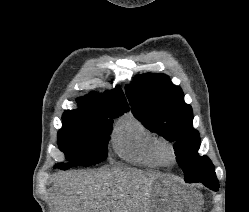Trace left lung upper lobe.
Wrapping results in <instances>:
<instances>
[{"label":"left lung upper lobe","mask_w":249,"mask_h":212,"mask_svg":"<svg viewBox=\"0 0 249 212\" xmlns=\"http://www.w3.org/2000/svg\"><path fill=\"white\" fill-rule=\"evenodd\" d=\"M125 89L133 115L151 132L174 142L176 160L185 181L217 179L211 160L198 155L199 133L192 127V108L184 102L179 86L173 85L164 74H143Z\"/></svg>","instance_id":"left-lung-upper-lobe-1"}]
</instances>
